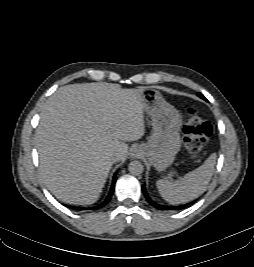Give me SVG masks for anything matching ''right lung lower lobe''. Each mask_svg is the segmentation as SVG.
<instances>
[{
	"mask_svg": "<svg viewBox=\"0 0 254 267\" xmlns=\"http://www.w3.org/2000/svg\"><path fill=\"white\" fill-rule=\"evenodd\" d=\"M116 179H117L116 174H114L110 191H109L106 199L101 204H99V205H97L95 207L87 208V209L86 208H82V207H74V206H69V207L74 209V210H93V209H98V208L103 207L104 205H106L110 201V199H111V197H112V195L114 193V187H115Z\"/></svg>",
	"mask_w": 254,
	"mask_h": 267,
	"instance_id": "98d812e1",
	"label": "right lung lower lobe"
}]
</instances>
